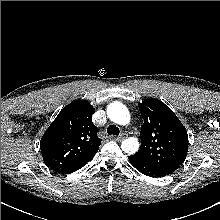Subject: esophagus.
<instances>
[{"mask_svg":"<svg viewBox=\"0 0 220 220\" xmlns=\"http://www.w3.org/2000/svg\"><path fill=\"white\" fill-rule=\"evenodd\" d=\"M125 138H126V135L123 134V135H121V136L115 137L114 139H115L117 142H121V141H123Z\"/></svg>","mask_w":220,"mask_h":220,"instance_id":"esophagus-1","label":"esophagus"}]
</instances>
